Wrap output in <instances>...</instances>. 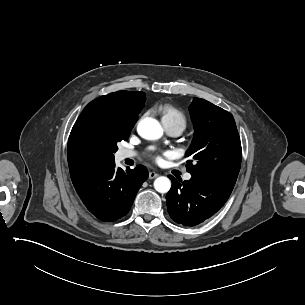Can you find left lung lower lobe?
<instances>
[{
  "instance_id": "obj_1",
  "label": "left lung lower lobe",
  "mask_w": 305,
  "mask_h": 305,
  "mask_svg": "<svg viewBox=\"0 0 305 305\" xmlns=\"http://www.w3.org/2000/svg\"><path fill=\"white\" fill-rule=\"evenodd\" d=\"M167 193L168 213L178 224L195 226L214 215L228 200L234 185L192 176L181 183L172 176Z\"/></svg>"
}]
</instances>
